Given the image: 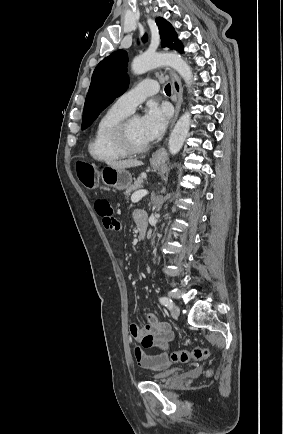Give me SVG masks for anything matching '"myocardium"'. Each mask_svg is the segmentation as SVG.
Wrapping results in <instances>:
<instances>
[{"label": "myocardium", "instance_id": "f54148a6", "mask_svg": "<svg viewBox=\"0 0 283 434\" xmlns=\"http://www.w3.org/2000/svg\"><path fill=\"white\" fill-rule=\"evenodd\" d=\"M136 117L133 115L124 118L114 130V138L118 146L127 154H138L145 152L149 148V143L136 144L133 142L129 132V126L132 119Z\"/></svg>", "mask_w": 283, "mask_h": 434}]
</instances>
